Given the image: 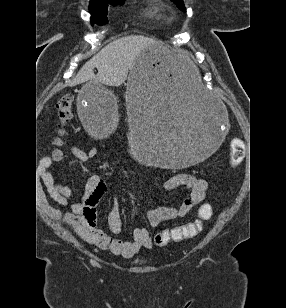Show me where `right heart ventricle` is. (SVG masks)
Segmentation results:
<instances>
[{
	"label": "right heart ventricle",
	"instance_id": "1",
	"mask_svg": "<svg viewBox=\"0 0 286 308\" xmlns=\"http://www.w3.org/2000/svg\"><path fill=\"white\" fill-rule=\"evenodd\" d=\"M153 2H157L158 0H152ZM161 14V11L159 9V7L157 6H154L153 8H151L149 11H148V15L149 16H159Z\"/></svg>",
	"mask_w": 286,
	"mask_h": 308
}]
</instances>
